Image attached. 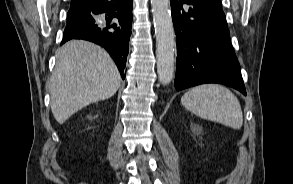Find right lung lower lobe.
Returning <instances> with one entry per match:
<instances>
[{
  "label": "right lung lower lobe",
  "mask_w": 293,
  "mask_h": 184,
  "mask_svg": "<svg viewBox=\"0 0 293 184\" xmlns=\"http://www.w3.org/2000/svg\"><path fill=\"white\" fill-rule=\"evenodd\" d=\"M132 0H93L71 5L62 43L84 39L104 47L122 79L129 52Z\"/></svg>",
  "instance_id": "1"
}]
</instances>
